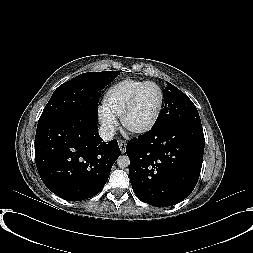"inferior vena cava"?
I'll list each match as a JSON object with an SVG mask.
<instances>
[{"label": "inferior vena cava", "mask_w": 253, "mask_h": 253, "mask_svg": "<svg viewBox=\"0 0 253 253\" xmlns=\"http://www.w3.org/2000/svg\"><path fill=\"white\" fill-rule=\"evenodd\" d=\"M115 128L114 126H101L99 128V135L104 141H110L115 136Z\"/></svg>", "instance_id": "inferior-vena-cava-1"}]
</instances>
